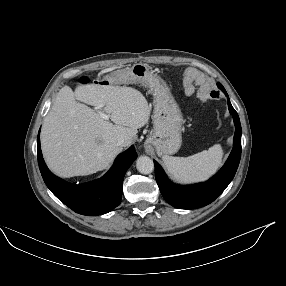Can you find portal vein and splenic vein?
I'll list each match as a JSON object with an SVG mask.
<instances>
[{
  "instance_id": "obj_1",
  "label": "portal vein and splenic vein",
  "mask_w": 286,
  "mask_h": 286,
  "mask_svg": "<svg viewBox=\"0 0 286 286\" xmlns=\"http://www.w3.org/2000/svg\"><path fill=\"white\" fill-rule=\"evenodd\" d=\"M103 106H104V104H100V105L96 106L94 109L99 113V115L101 116L102 119L108 120L110 118V116L105 114L104 112H102L100 110V108H102Z\"/></svg>"
}]
</instances>
